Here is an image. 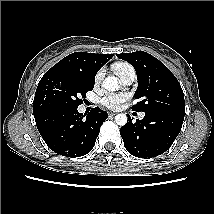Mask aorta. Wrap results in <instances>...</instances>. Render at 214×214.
<instances>
[{
  "label": "aorta",
  "instance_id": "obj_1",
  "mask_svg": "<svg viewBox=\"0 0 214 214\" xmlns=\"http://www.w3.org/2000/svg\"><path fill=\"white\" fill-rule=\"evenodd\" d=\"M102 87L108 91H115L118 88V80L114 76L105 78ZM127 116L125 114H118L115 116V122L119 126H124L127 123Z\"/></svg>",
  "mask_w": 214,
  "mask_h": 214
}]
</instances>
